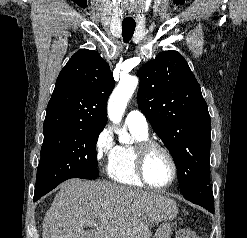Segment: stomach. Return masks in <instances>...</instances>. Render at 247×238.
I'll list each match as a JSON object with an SVG mask.
<instances>
[{
	"mask_svg": "<svg viewBox=\"0 0 247 238\" xmlns=\"http://www.w3.org/2000/svg\"><path fill=\"white\" fill-rule=\"evenodd\" d=\"M172 232V225L165 221L160 227L157 229L153 238H170Z\"/></svg>",
	"mask_w": 247,
	"mask_h": 238,
	"instance_id": "obj_1",
	"label": "stomach"
}]
</instances>
